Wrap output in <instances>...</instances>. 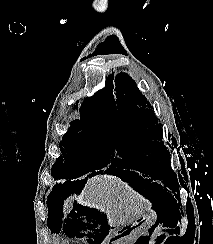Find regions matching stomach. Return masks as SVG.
<instances>
[{"instance_id":"1","label":"stomach","mask_w":213,"mask_h":244,"mask_svg":"<svg viewBox=\"0 0 213 244\" xmlns=\"http://www.w3.org/2000/svg\"><path fill=\"white\" fill-rule=\"evenodd\" d=\"M158 220V216L156 212L152 210H147L143 212L137 219L125 223H112V228H122V229H116L115 230V239H105V244H128L127 238L136 237L139 234L144 233L156 223ZM97 244H101L102 240L97 239Z\"/></svg>"}]
</instances>
